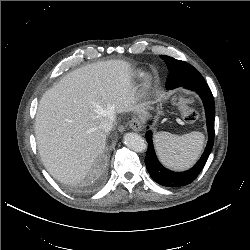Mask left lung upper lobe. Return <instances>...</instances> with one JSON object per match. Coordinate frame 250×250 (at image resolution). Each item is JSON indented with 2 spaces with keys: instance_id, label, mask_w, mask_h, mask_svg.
I'll use <instances>...</instances> for the list:
<instances>
[{
  "instance_id": "left-lung-upper-lobe-1",
  "label": "left lung upper lobe",
  "mask_w": 250,
  "mask_h": 250,
  "mask_svg": "<svg viewBox=\"0 0 250 250\" xmlns=\"http://www.w3.org/2000/svg\"><path fill=\"white\" fill-rule=\"evenodd\" d=\"M161 58L166 62L169 74L167 76L166 80V88L174 89L177 86H181L188 82H194V81H202L204 78L202 75L195 69V73L193 75H185L184 71L180 70L176 63H180L182 61L174 59L169 56L162 55ZM184 62V61H183ZM178 72V73H177Z\"/></svg>"
}]
</instances>
